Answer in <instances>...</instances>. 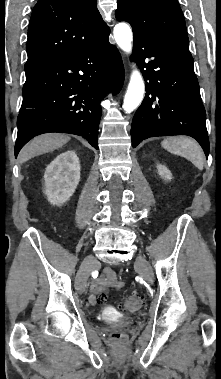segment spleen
Here are the masks:
<instances>
[{
	"instance_id": "1",
	"label": "spleen",
	"mask_w": 221,
	"mask_h": 379,
	"mask_svg": "<svg viewBox=\"0 0 221 379\" xmlns=\"http://www.w3.org/2000/svg\"><path fill=\"white\" fill-rule=\"evenodd\" d=\"M161 145L169 152L188 159L199 170H203L204 154L195 140L184 136H173L164 139Z\"/></svg>"
}]
</instances>
